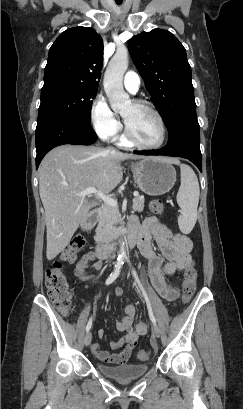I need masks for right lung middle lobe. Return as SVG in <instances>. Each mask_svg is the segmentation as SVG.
<instances>
[{
	"mask_svg": "<svg viewBox=\"0 0 243 409\" xmlns=\"http://www.w3.org/2000/svg\"><path fill=\"white\" fill-rule=\"evenodd\" d=\"M97 89L65 80H44L37 124L48 119H65L91 124L92 100Z\"/></svg>",
	"mask_w": 243,
	"mask_h": 409,
	"instance_id": "1",
	"label": "right lung middle lobe"
}]
</instances>
